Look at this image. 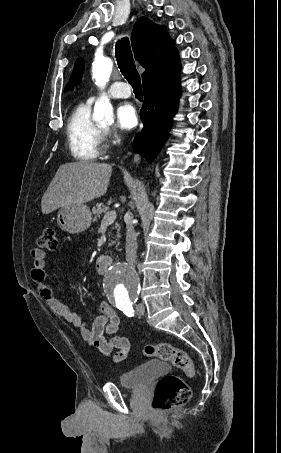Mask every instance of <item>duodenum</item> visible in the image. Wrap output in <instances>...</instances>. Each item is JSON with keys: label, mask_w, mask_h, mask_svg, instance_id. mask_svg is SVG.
<instances>
[{"label": "duodenum", "mask_w": 281, "mask_h": 453, "mask_svg": "<svg viewBox=\"0 0 281 453\" xmlns=\"http://www.w3.org/2000/svg\"><path fill=\"white\" fill-rule=\"evenodd\" d=\"M113 260L109 255L102 254L97 258L96 267L100 274L107 272L109 267L112 265Z\"/></svg>", "instance_id": "obj_1"}]
</instances>
